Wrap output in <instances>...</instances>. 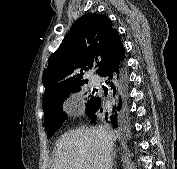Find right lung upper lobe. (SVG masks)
<instances>
[{
    "mask_svg": "<svg viewBox=\"0 0 177 169\" xmlns=\"http://www.w3.org/2000/svg\"><path fill=\"white\" fill-rule=\"evenodd\" d=\"M125 48L111 20L102 14H84L49 58L43 73V105L87 83L83 75L94 64L96 73L125 58Z\"/></svg>",
    "mask_w": 177,
    "mask_h": 169,
    "instance_id": "right-lung-upper-lobe-1",
    "label": "right lung upper lobe"
}]
</instances>
